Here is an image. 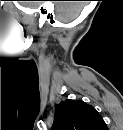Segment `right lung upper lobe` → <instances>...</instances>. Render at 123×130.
Wrapping results in <instances>:
<instances>
[{
    "instance_id": "right-lung-upper-lobe-1",
    "label": "right lung upper lobe",
    "mask_w": 123,
    "mask_h": 130,
    "mask_svg": "<svg viewBox=\"0 0 123 130\" xmlns=\"http://www.w3.org/2000/svg\"><path fill=\"white\" fill-rule=\"evenodd\" d=\"M56 121L62 126H72L76 130H94L103 126L101 116L92 106L74 100H66L58 106Z\"/></svg>"
}]
</instances>
